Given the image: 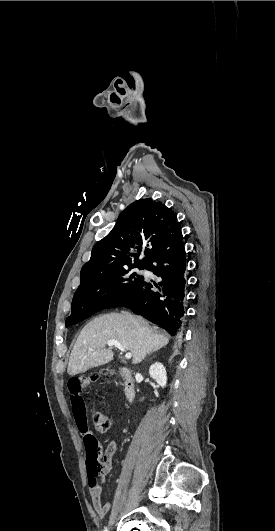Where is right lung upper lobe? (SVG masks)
<instances>
[{"instance_id": "1", "label": "right lung upper lobe", "mask_w": 275, "mask_h": 531, "mask_svg": "<svg viewBox=\"0 0 275 531\" xmlns=\"http://www.w3.org/2000/svg\"><path fill=\"white\" fill-rule=\"evenodd\" d=\"M179 226L172 210L159 202L147 198L130 204L111 232L93 247L90 260L81 269L80 286L121 268L147 266ZM143 248L145 257L139 260Z\"/></svg>"}]
</instances>
